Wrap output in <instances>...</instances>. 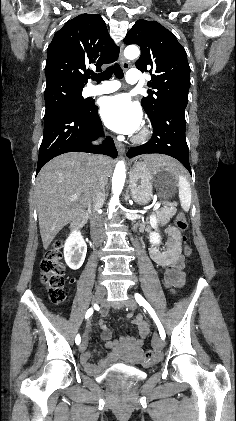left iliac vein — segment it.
<instances>
[{
    "label": "left iliac vein",
    "mask_w": 236,
    "mask_h": 421,
    "mask_svg": "<svg viewBox=\"0 0 236 421\" xmlns=\"http://www.w3.org/2000/svg\"><path fill=\"white\" fill-rule=\"evenodd\" d=\"M126 305L131 310H135L137 308V303L131 295L128 296V300L126 301ZM152 344L156 349H163V347H164L163 339L158 334L154 335L153 340H152Z\"/></svg>",
    "instance_id": "4c4485c4"
}]
</instances>
